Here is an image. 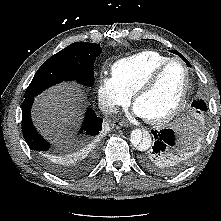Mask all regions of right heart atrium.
Here are the masks:
<instances>
[{
	"instance_id": "right-heart-atrium-1",
	"label": "right heart atrium",
	"mask_w": 221,
	"mask_h": 221,
	"mask_svg": "<svg viewBox=\"0 0 221 221\" xmlns=\"http://www.w3.org/2000/svg\"><path fill=\"white\" fill-rule=\"evenodd\" d=\"M97 94L102 108L108 113L126 106L131 98V95L123 89L119 82L106 73L100 75Z\"/></svg>"
}]
</instances>
